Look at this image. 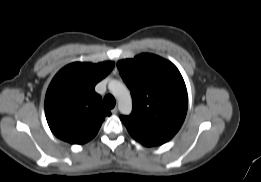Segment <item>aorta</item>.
Masks as SVG:
<instances>
[{"instance_id": "1", "label": "aorta", "mask_w": 261, "mask_h": 182, "mask_svg": "<svg viewBox=\"0 0 261 182\" xmlns=\"http://www.w3.org/2000/svg\"><path fill=\"white\" fill-rule=\"evenodd\" d=\"M108 88L118 102L119 111L128 115L132 112V98L127 87L118 80H111Z\"/></svg>"}]
</instances>
